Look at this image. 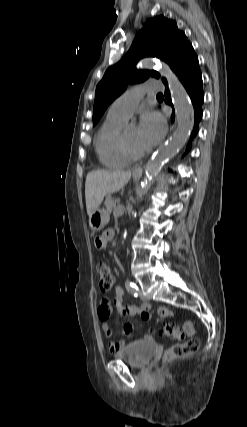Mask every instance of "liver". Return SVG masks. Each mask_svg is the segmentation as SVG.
Listing matches in <instances>:
<instances>
[{
  "label": "liver",
  "mask_w": 247,
  "mask_h": 427,
  "mask_svg": "<svg viewBox=\"0 0 247 427\" xmlns=\"http://www.w3.org/2000/svg\"><path fill=\"white\" fill-rule=\"evenodd\" d=\"M131 178L130 171L92 170L86 176L85 199L88 216L99 208L104 197L123 188Z\"/></svg>",
  "instance_id": "6515ba94"
}]
</instances>
